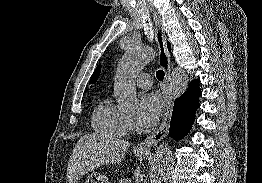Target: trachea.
Returning a JSON list of instances; mask_svg holds the SVG:
<instances>
[{
    "mask_svg": "<svg viewBox=\"0 0 262 183\" xmlns=\"http://www.w3.org/2000/svg\"><path fill=\"white\" fill-rule=\"evenodd\" d=\"M164 75H165V73H164L163 70H158V71L156 72V77H157V79H158L159 81H162V80L164 79Z\"/></svg>",
    "mask_w": 262,
    "mask_h": 183,
    "instance_id": "1",
    "label": "trachea"
}]
</instances>
